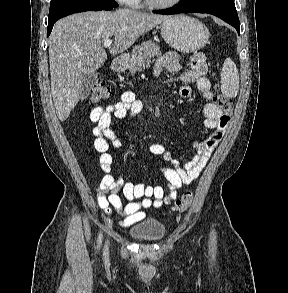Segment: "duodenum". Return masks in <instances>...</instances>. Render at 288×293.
<instances>
[{
  "label": "duodenum",
  "mask_w": 288,
  "mask_h": 293,
  "mask_svg": "<svg viewBox=\"0 0 288 293\" xmlns=\"http://www.w3.org/2000/svg\"><path fill=\"white\" fill-rule=\"evenodd\" d=\"M125 67V60L123 58H115L111 64V68L114 72H120Z\"/></svg>",
  "instance_id": "1"
}]
</instances>
